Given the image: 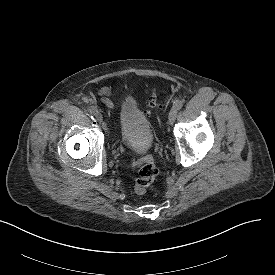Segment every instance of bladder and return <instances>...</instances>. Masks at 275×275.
<instances>
[{
  "mask_svg": "<svg viewBox=\"0 0 275 275\" xmlns=\"http://www.w3.org/2000/svg\"><path fill=\"white\" fill-rule=\"evenodd\" d=\"M117 114L120 134L127 147L137 154L144 153L151 144L152 132L136 99L132 95L125 96L118 106Z\"/></svg>",
  "mask_w": 275,
  "mask_h": 275,
  "instance_id": "obj_1",
  "label": "bladder"
}]
</instances>
